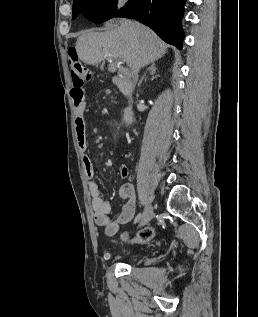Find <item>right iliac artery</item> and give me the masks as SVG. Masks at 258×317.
Returning <instances> with one entry per match:
<instances>
[{
	"label": "right iliac artery",
	"instance_id": "1",
	"mask_svg": "<svg viewBox=\"0 0 258 317\" xmlns=\"http://www.w3.org/2000/svg\"><path fill=\"white\" fill-rule=\"evenodd\" d=\"M141 216H142V214L139 213V214L136 216L134 223H137V222L141 219Z\"/></svg>",
	"mask_w": 258,
	"mask_h": 317
}]
</instances>
